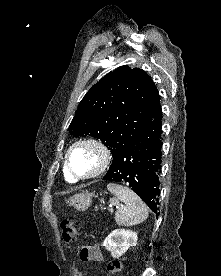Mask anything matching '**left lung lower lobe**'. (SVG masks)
Wrapping results in <instances>:
<instances>
[{"mask_svg": "<svg viewBox=\"0 0 221 276\" xmlns=\"http://www.w3.org/2000/svg\"><path fill=\"white\" fill-rule=\"evenodd\" d=\"M162 113L146 123L131 142L113 155L104 180L127 184L158 215Z\"/></svg>", "mask_w": 221, "mask_h": 276, "instance_id": "0a47b994", "label": "left lung lower lobe"}]
</instances>
